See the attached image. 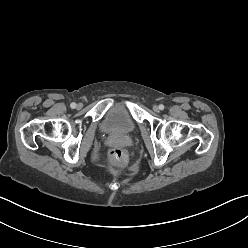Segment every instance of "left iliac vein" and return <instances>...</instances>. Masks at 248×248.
<instances>
[{"mask_svg": "<svg viewBox=\"0 0 248 248\" xmlns=\"http://www.w3.org/2000/svg\"><path fill=\"white\" fill-rule=\"evenodd\" d=\"M153 110H154L155 112H159V110H160V109H159V106L154 105V106H153Z\"/></svg>", "mask_w": 248, "mask_h": 248, "instance_id": "obj_1", "label": "left iliac vein"}]
</instances>
